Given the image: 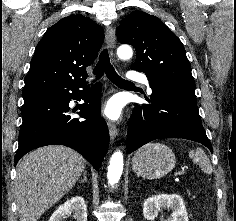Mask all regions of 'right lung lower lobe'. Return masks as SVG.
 Returning <instances> with one entry per match:
<instances>
[{
	"mask_svg": "<svg viewBox=\"0 0 236 221\" xmlns=\"http://www.w3.org/2000/svg\"><path fill=\"white\" fill-rule=\"evenodd\" d=\"M85 82L71 83L51 92H36L23 96V122L15 164L29 151L46 145H65L78 151L96 170L99 169L109 146L105 120L100 117L101 84L96 83L82 93L81 118L68 115L69 102L79 100V88ZM74 112V110H73Z\"/></svg>",
	"mask_w": 236,
	"mask_h": 221,
	"instance_id": "1",
	"label": "right lung lower lobe"
}]
</instances>
